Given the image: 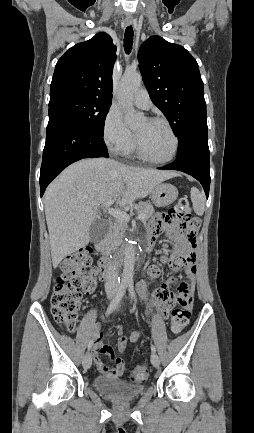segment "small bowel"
I'll use <instances>...</instances> for the list:
<instances>
[{"label": "small bowel", "instance_id": "1", "mask_svg": "<svg viewBox=\"0 0 254 433\" xmlns=\"http://www.w3.org/2000/svg\"><path fill=\"white\" fill-rule=\"evenodd\" d=\"M165 229L170 237L174 239L178 247L171 256H162L161 263L171 268L173 271H179L184 269L188 280L178 284L177 293L174 294L170 287L175 282L174 279L166 281L160 285L151 295L150 308L156 310L160 315L166 316L172 306L177 303L179 296H185L193 299L194 285L192 282L193 277L196 274V256L193 252L192 246L188 240H186L181 232L172 225H165L160 215H157L149 225L147 230V238L151 241L155 240L158 234ZM161 269L157 265H152L148 270V278L150 280L159 277ZM118 350L125 352L127 348L128 340L132 343H136L142 336L140 331H131L127 335L123 334L122 330L118 331ZM106 338V334L96 331L94 334L91 345L93 346V359L99 372L108 378H118L122 376L126 370L125 362L114 356V352L110 346L105 344L103 340ZM101 355L108 356L113 360V365H107L102 359Z\"/></svg>", "mask_w": 254, "mask_h": 433}]
</instances>
